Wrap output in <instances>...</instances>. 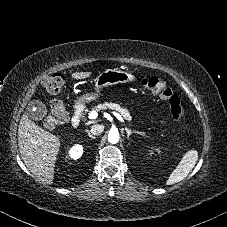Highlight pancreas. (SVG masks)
I'll use <instances>...</instances> for the list:
<instances>
[{"instance_id": "obj_1", "label": "pancreas", "mask_w": 227, "mask_h": 227, "mask_svg": "<svg viewBox=\"0 0 227 227\" xmlns=\"http://www.w3.org/2000/svg\"><path fill=\"white\" fill-rule=\"evenodd\" d=\"M96 110V111H100V110H104V109H111V110H115L117 112H119L124 119L128 120V121H131L132 120V117L129 113V111L126 109V108H123L121 107L120 105L118 104H115V103H104V104H99L97 106H95L93 108V110Z\"/></svg>"}]
</instances>
